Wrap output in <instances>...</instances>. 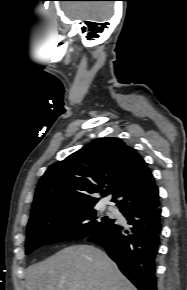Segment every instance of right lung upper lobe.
I'll list each match as a JSON object with an SVG mask.
<instances>
[{"instance_id":"obj_1","label":"right lung upper lobe","mask_w":187,"mask_h":290,"mask_svg":"<svg viewBox=\"0 0 187 290\" xmlns=\"http://www.w3.org/2000/svg\"><path fill=\"white\" fill-rule=\"evenodd\" d=\"M99 193L113 194L121 211L159 203L158 188L143 158L121 139L105 137L48 168L36 189L28 225L54 212L95 205Z\"/></svg>"}]
</instances>
